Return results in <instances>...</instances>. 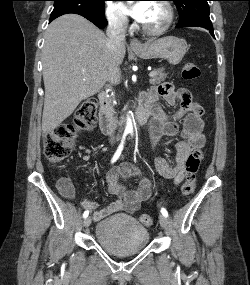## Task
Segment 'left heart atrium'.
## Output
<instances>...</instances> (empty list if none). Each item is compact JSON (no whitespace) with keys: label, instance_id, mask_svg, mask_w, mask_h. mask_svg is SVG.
<instances>
[{"label":"left heart atrium","instance_id":"1","mask_svg":"<svg viewBox=\"0 0 250 285\" xmlns=\"http://www.w3.org/2000/svg\"><path fill=\"white\" fill-rule=\"evenodd\" d=\"M150 5L149 2L145 1L137 2L130 6L129 13L134 19L143 23L146 19Z\"/></svg>","mask_w":250,"mask_h":285}]
</instances>
